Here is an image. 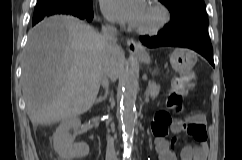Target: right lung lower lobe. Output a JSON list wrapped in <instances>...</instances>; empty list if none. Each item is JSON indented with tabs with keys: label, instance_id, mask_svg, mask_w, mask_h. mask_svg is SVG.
Listing matches in <instances>:
<instances>
[{
	"label": "right lung lower lobe",
	"instance_id": "1",
	"mask_svg": "<svg viewBox=\"0 0 242 160\" xmlns=\"http://www.w3.org/2000/svg\"><path fill=\"white\" fill-rule=\"evenodd\" d=\"M56 14H64V15L75 16V17H78L80 19H85V20H88V21H91L93 19V15H94L93 10L87 11V12H80V11H72V12H68V11H52V12L47 13V14H43V15H39L37 17H33L32 25L34 26L39 21H41L44 17H48V16H52V15H56Z\"/></svg>",
	"mask_w": 242,
	"mask_h": 160
}]
</instances>
